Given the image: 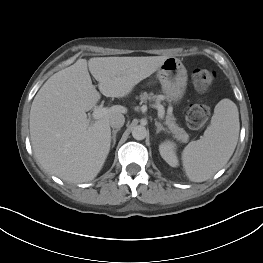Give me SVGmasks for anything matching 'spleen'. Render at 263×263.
I'll return each mask as SVG.
<instances>
[{
    "label": "spleen",
    "mask_w": 263,
    "mask_h": 263,
    "mask_svg": "<svg viewBox=\"0 0 263 263\" xmlns=\"http://www.w3.org/2000/svg\"><path fill=\"white\" fill-rule=\"evenodd\" d=\"M239 112L230 99H222L214 109L204 136L183 150L182 163L193 182H203L221 169L232 156L239 136Z\"/></svg>",
    "instance_id": "1"
}]
</instances>
